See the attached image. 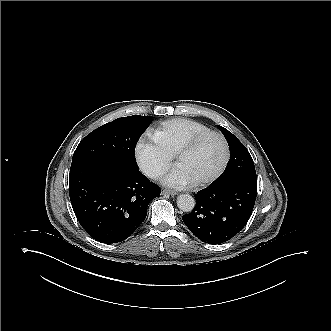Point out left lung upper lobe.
I'll return each instance as SVG.
<instances>
[{"label": "left lung upper lobe", "instance_id": "left-lung-upper-lobe-1", "mask_svg": "<svg viewBox=\"0 0 331 331\" xmlns=\"http://www.w3.org/2000/svg\"><path fill=\"white\" fill-rule=\"evenodd\" d=\"M219 128L228 142L231 156L227 168L223 175L220 176L218 183L238 177L257 181L254 163L246 147L227 129L222 126H219Z\"/></svg>", "mask_w": 331, "mask_h": 331}]
</instances>
